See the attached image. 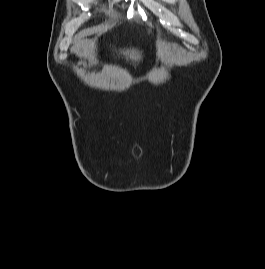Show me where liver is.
I'll return each instance as SVG.
<instances>
[{
  "label": "liver",
  "instance_id": "1",
  "mask_svg": "<svg viewBox=\"0 0 265 269\" xmlns=\"http://www.w3.org/2000/svg\"><path fill=\"white\" fill-rule=\"evenodd\" d=\"M125 54H129V51H127ZM130 58L136 60V59L139 58V55L136 53V51H131V52H130Z\"/></svg>",
  "mask_w": 265,
  "mask_h": 269
}]
</instances>
